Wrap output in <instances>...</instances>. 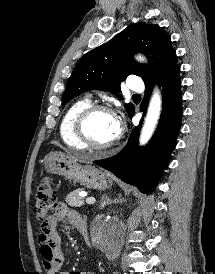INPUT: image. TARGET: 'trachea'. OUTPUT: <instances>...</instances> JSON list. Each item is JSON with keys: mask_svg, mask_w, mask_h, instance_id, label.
I'll use <instances>...</instances> for the list:
<instances>
[{"mask_svg": "<svg viewBox=\"0 0 215 274\" xmlns=\"http://www.w3.org/2000/svg\"><path fill=\"white\" fill-rule=\"evenodd\" d=\"M133 97H140V95L139 94H134Z\"/></svg>", "mask_w": 215, "mask_h": 274, "instance_id": "obj_1", "label": "trachea"}]
</instances>
